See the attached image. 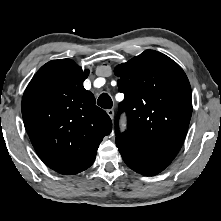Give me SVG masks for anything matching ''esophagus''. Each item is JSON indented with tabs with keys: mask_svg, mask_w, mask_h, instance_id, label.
<instances>
[{
	"mask_svg": "<svg viewBox=\"0 0 221 221\" xmlns=\"http://www.w3.org/2000/svg\"><path fill=\"white\" fill-rule=\"evenodd\" d=\"M107 114L109 115V117L111 119H113V117H114V110H112V109L107 110Z\"/></svg>",
	"mask_w": 221,
	"mask_h": 221,
	"instance_id": "1",
	"label": "esophagus"
}]
</instances>
